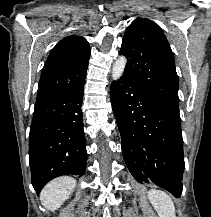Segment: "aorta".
Wrapping results in <instances>:
<instances>
[{"label": "aorta", "instance_id": "762f6f07", "mask_svg": "<svg viewBox=\"0 0 211 217\" xmlns=\"http://www.w3.org/2000/svg\"><path fill=\"white\" fill-rule=\"evenodd\" d=\"M127 63V59L124 56H120L114 63L113 67H112V79L113 80H118L125 69Z\"/></svg>", "mask_w": 211, "mask_h": 217}]
</instances>
